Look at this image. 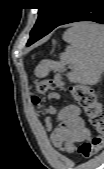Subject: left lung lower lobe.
Listing matches in <instances>:
<instances>
[{
  "mask_svg": "<svg viewBox=\"0 0 104 169\" xmlns=\"http://www.w3.org/2000/svg\"><path fill=\"white\" fill-rule=\"evenodd\" d=\"M78 21H93L104 24V8L102 3H100L99 0H77V4L75 5L74 9L62 22L59 23V25ZM50 32H42L40 30L34 31L30 34V39L28 40L27 46L33 44Z\"/></svg>",
  "mask_w": 104,
  "mask_h": 169,
  "instance_id": "0a47b994",
  "label": "left lung lower lobe"
}]
</instances>
